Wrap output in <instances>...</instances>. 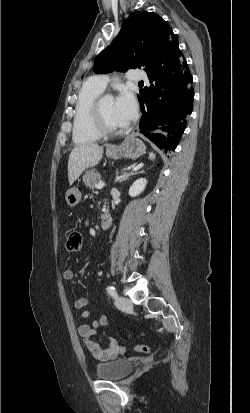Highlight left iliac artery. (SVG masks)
<instances>
[{"label": "left iliac artery", "instance_id": "left-iliac-artery-1", "mask_svg": "<svg viewBox=\"0 0 250 413\" xmlns=\"http://www.w3.org/2000/svg\"><path fill=\"white\" fill-rule=\"evenodd\" d=\"M107 291L113 298L117 297V292L113 286H107Z\"/></svg>", "mask_w": 250, "mask_h": 413}]
</instances>
